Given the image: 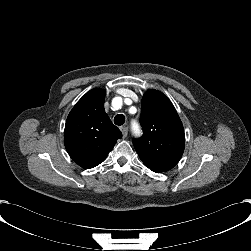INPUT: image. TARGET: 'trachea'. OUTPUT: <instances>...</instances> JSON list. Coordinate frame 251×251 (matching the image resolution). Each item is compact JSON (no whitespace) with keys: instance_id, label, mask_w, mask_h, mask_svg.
<instances>
[{"instance_id":"obj_1","label":"trachea","mask_w":251,"mask_h":251,"mask_svg":"<svg viewBox=\"0 0 251 251\" xmlns=\"http://www.w3.org/2000/svg\"><path fill=\"white\" fill-rule=\"evenodd\" d=\"M126 118L123 114H118L114 118V123L118 126L123 125L125 122Z\"/></svg>"}]
</instances>
